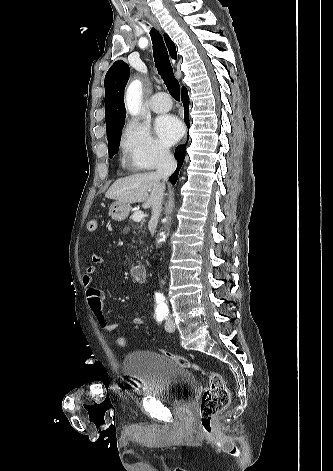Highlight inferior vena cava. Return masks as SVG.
Here are the masks:
<instances>
[{
  "label": "inferior vena cava",
  "mask_w": 333,
  "mask_h": 471,
  "mask_svg": "<svg viewBox=\"0 0 333 471\" xmlns=\"http://www.w3.org/2000/svg\"><path fill=\"white\" fill-rule=\"evenodd\" d=\"M177 163L171 153L166 150H161L159 153V161L156 170V176L163 180L162 187L164 189V182L168 179V177L175 171ZM162 199L163 194L160 198L154 202L152 206V217L149 222V230L153 235L155 233V229L158 223V219L160 216V212L162 209Z\"/></svg>",
  "instance_id": "1"
}]
</instances>
